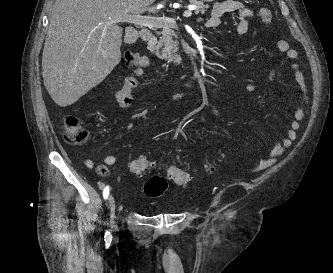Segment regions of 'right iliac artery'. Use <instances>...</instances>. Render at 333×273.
Masks as SVG:
<instances>
[{
	"instance_id": "1",
	"label": "right iliac artery",
	"mask_w": 333,
	"mask_h": 273,
	"mask_svg": "<svg viewBox=\"0 0 333 273\" xmlns=\"http://www.w3.org/2000/svg\"><path fill=\"white\" fill-rule=\"evenodd\" d=\"M109 191H110L109 186H106V187L104 188V190H103V197H104V199H107V198H108ZM104 237H105V239H111L112 236H111V234H110L109 231H106Z\"/></svg>"
}]
</instances>
